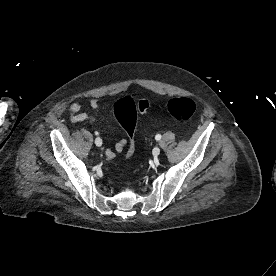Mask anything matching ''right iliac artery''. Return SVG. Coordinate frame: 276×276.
<instances>
[{
    "label": "right iliac artery",
    "mask_w": 276,
    "mask_h": 276,
    "mask_svg": "<svg viewBox=\"0 0 276 276\" xmlns=\"http://www.w3.org/2000/svg\"><path fill=\"white\" fill-rule=\"evenodd\" d=\"M95 134L97 135V134H98V132H95ZM98 143L102 144V140H101L100 142H98Z\"/></svg>",
    "instance_id": "obj_1"
}]
</instances>
